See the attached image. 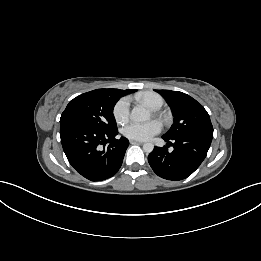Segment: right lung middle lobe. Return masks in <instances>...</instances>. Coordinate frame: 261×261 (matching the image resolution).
Returning a JSON list of instances; mask_svg holds the SVG:
<instances>
[{
    "mask_svg": "<svg viewBox=\"0 0 261 261\" xmlns=\"http://www.w3.org/2000/svg\"><path fill=\"white\" fill-rule=\"evenodd\" d=\"M122 97L116 89H96L72 99L61 115L60 123L88 126L100 131L116 129L113 108Z\"/></svg>",
    "mask_w": 261,
    "mask_h": 261,
    "instance_id": "dd1d6c3e",
    "label": "right lung middle lobe"
}]
</instances>
